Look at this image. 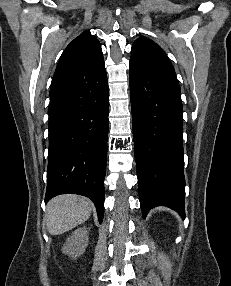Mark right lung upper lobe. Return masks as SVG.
Returning <instances> with one entry per match:
<instances>
[{
  "instance_id": "cb5924a9",
  "label": "right lung upper lobe",
  "mask_w": 231,
  "mask_h": 286,
  "mask_svg": "<svg viewBox=\"0 0 231 286\" xmlns=\"http://www.w3.org/2000/svg\"><path fill=\"white\" fill-rule=\"evenodd\" d=\"M103 72L105 64L101 45L89 31H84L63 52L54 74L50 96Z\"/></svg>"
}]
</instances>
